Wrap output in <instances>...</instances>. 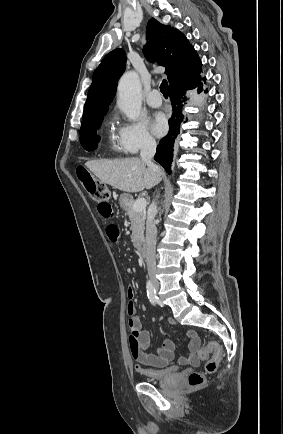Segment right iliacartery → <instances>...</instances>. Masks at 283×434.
<instances>
[{
	"instance_id": "82829eb1",
	"label": "right iliac artery",
	"mask_w": 283,
	"mask_h": 434,
	"mask_svg": "<svg viewBox=\"0 0 283 434\" xmlns=\"http://www.w3.org/2000/svg\"><path fill=\"white\" fill-rule=\"evenodd\" d=\"M146 288H147V296H148L150 302L153 305H156L159 302V300H158V297L156 295L155 288H154L151 281L147 282Z\"/></svg>"
}]
</instances>
